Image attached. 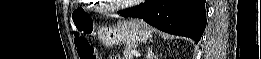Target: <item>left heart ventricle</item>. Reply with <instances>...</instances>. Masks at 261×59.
Here are the masks:
<instances>
[{"label":"left heart ventricle","instance_id":"obj_1","mask_svg":"<svg viewBox=\"0 0 261 59\" xmlns=\"http://www.w3.org/2000/svg\"><path fill=\"white\" fill-rule=\"evenodd\" d=\"M124 2H126V1H115V3H124Z\"/></svg>","mask_w":261,"mask_h":59}]
</instances>
